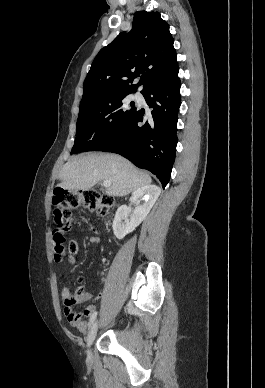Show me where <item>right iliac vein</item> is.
<instances>
[{
  "instance_id": "63e3f726",
  "label": "right iliac vein",
  "mask_w": 265,
  "mask_h": 388,
  "mask_svg": "<svg viewBox=\"0 0 265 388\" xmlns=\"http://www.w3.org/2000/svg\"><path fill=\"white\" fill-rule=\"evenodd\" d=\"M97 330H98V322H95L92 325V327L87 335V339H86V348H87L86 352H87L88 359L92 358L91 345L93 344V342L96 338Z\"/></svg>"
}]
</instances>
